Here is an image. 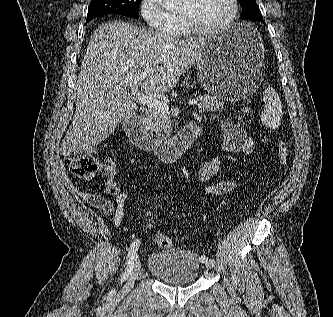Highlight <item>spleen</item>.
Returning a JSON list of instances; mask_svg holds the SVG:
<instances>
[{"label": "spleen", "mask_w": 333, "mask_h": 317, "mask_svg": "<svg viewBox=\"0 0 333 317\" xmlns=\"http://www.w3.org/2000/svg\"><path fill=\"white\" fill-rule=\"evenodd\" d=\"M264 112L261 115L262 123L270 129L279 127L282 119V105L280 97L272 87L265 89L263 94Z\"/></svg>", "instance_id": "obj_1"}]
</instances>
